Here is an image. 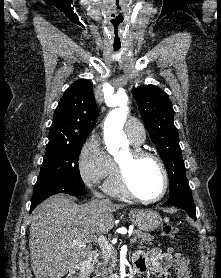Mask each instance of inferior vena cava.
Listing matches in <instances>:
<instances>
[{
	"mask_svg": "<svg viewBox=\"0 0 221 278\" xmlns=\"http://www.w3.org/2000/svg\"><path fill=\"white\" fill-rule=\"evenodd\" d=\"M94 195L96 196V197H98V198H102L103 196L100 194V193H98V192H94ZM106 202H110L109 200H105Z\"/></svg>",
	"mask_w": 221,
	"mask_h": 278,
	"instance_id": "1",
	"label": "inferior vena cava"
}]
</instances>
